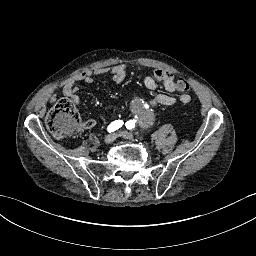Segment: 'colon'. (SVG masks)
<instances>
[{
    "instance_id": "5ec220e1",
    "label": "colon",
    "mask_w": 256,
    "mask_h": 256,
    "mask_svg": "<svg viewBox=\"0 0 256 256\" xmlns=\"http://www.w3.org/2000/svg\"><path fill=\"white\" fill-rule=\"evenodd\" d=\"M189 87L187 80L183 78L178 80L177 88L179 91L186 92ZM78 116L74 103L69 99H62L56 103L48 114L46 126L57 138L70 137L75 131Z\"/></svg>"
}]
</instances>
